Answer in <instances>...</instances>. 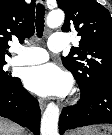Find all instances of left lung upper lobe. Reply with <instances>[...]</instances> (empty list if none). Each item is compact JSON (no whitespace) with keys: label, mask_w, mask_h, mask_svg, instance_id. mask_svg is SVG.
I'll list each match as a JSON object with an SVG mask.
<instances>
[{"label":"left lung upper lobe","mask_w":112,"mask_h":135,"mask_svg":"<svg viewBox=\"0 0 112 135\" xmlns=\"http://www.w3.org/2000/svg\"><path fill=\"white\" fill-rule=\"evenodd\" d=\"M65 12L63 32L77 31L79 47H73L64 66L72 72L81 91L112 79V17L95 0H57ZM77 55V57H73Z\"/></svg>","instance_id":"left-lung-upper-lobe-1"}]
</instances>
